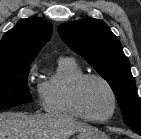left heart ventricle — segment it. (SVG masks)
I'll list each match as a JSON object with an SVG mask.
<instances>
[{
	"mask_svg": "<svg viewBox=\"0 0 141 139\" xmlns=\"http://www.w3.org/2000/svg\"><path fill=\"white\" fill-rule=\"evenodd\" d=\"M81 97L86 112L94 118H104L112 109L110 92L99 80L86 81L82 88Z\"/></svg>",
	"mask_w": 141,
	"mask_h": 139,
	"instance_id": "obj_1",
	"label": "left heart ventricle"
}]
</instances>
